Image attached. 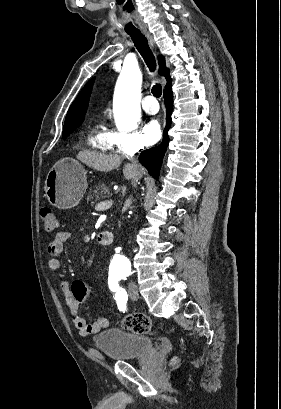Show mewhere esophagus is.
I'll return each instance as SVG.
<instances>
[{"instance_id":"esophagus-1","label":"esophagus","mask_w":281,"mask_h":409,"mask_svg":"<svg viewBox=\"0 0 281 409\" xmlns=\"http://www.w3.org/2000/svg\"><path fill=\"white\" fill-rule=\"evenodd\" d=\"M144 33H145L146 37L148 38V41H149V43H150V46L153 47L154 44H153V39H152L151 35L149 34L148 31H144Z\"/></svg>"}]
</instances>
